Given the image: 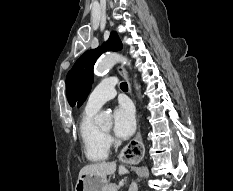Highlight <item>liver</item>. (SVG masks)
I'll return each mask as SVG.
<instances>
[{"mask_svg":"<svg viewBox=\"0 0 233 191\" xmlns=\"http://www.w3.org/2000/svg\"><path fill=\"white\" fill-rule=\"evenodd\" d=\"M116 171V163L115 162H99L84 166L80 172L79 177L83 175H97L106 177L107 175H112ZM128 173V170L123 166H119V174L123 175Z\"/></svg>","mask_w":233,"mask_h":191,"instance_id":"liver-1","label":"liver"}]
</instances>
